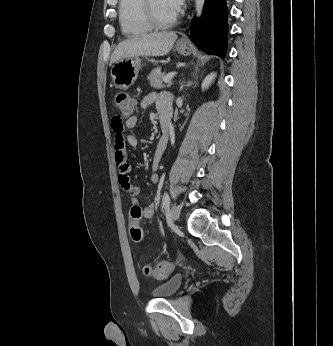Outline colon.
Wrapping results in <instances>:
<instances>
[{
	"label": "colon",
	"mask_w": 333,
	"mask_h": 346,
	"mask_svg": "<svg viewBox=\"0 0 333 346\" xmlns=\"http://www.w3.org/2000/svg\"><path fill=\"white\" fill-rule=\"evenodd\" d=\"M115 102L118 110V117H129L133 114L135 109L134 99L127 93L119 92L116 94ZM130 217L133 224L130 228V237L133 242L139 243L143 238L141 228L137 225V221L141 217V209L138 206H134L130 210ZM173 270V265L170 261H161L155 265H146L144 267V273L157 279H163L167 277Z\"/></svg>",
	"instance_id": "colon-1"
}]
</instances>
